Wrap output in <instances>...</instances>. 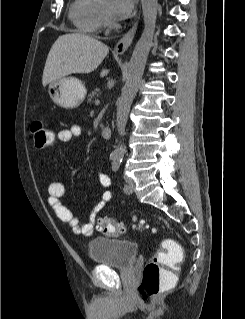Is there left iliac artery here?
I'll use <instances>...</instances> for the list:
<instances>
[{
    "label": "left iliac artery",
    "mask_w": 245,
    "mask_h": 319,
    "mask_svg": "<svg viewBox=\"0 0 245 319\" xmlns=\"http://www.w3.org/2000/svg\"><path fill=\"white\" fill-rule=\"evenodd\" d=\"M121 162H122V160H120V159H114V160H113L112 170H113L114 172H117V171L119 170L120 165H121ZM123 190H124V191H127V190H128L127 185H124V186H123Z\"/></svg>",
    "instance_id": "1"
}]
</instances>
